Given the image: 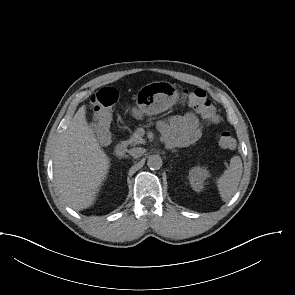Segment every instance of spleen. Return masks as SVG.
<instances>
[{
  "label": "spleen",
  "instance_id": "obj_1",
  "mask_svg": "<svg viewBox=\"0 0 295 295\" xmlns=\"http://www.w3.org/2000/svg\"><path fill=\"white\" fill-rule=\"evenodd\" d=\"M243 172L242 161L239 156L230 160V165L217 180V187L223 201H229L236 193Z\"/></svg>",
  "mask_w": 295,
  "mask_h": 295
}]
</instances>
